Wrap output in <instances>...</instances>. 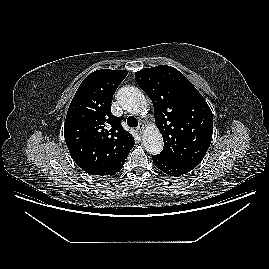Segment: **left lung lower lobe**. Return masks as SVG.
Segmentation results:
<instances>
[{"label": "left lung lower lobe", "mask_w": 269, "mask_h": 269, "mask_svg": "<svg viewBox=\"0 0 269 269\" xmlns=\"http://www.w3.org/2000/svg\"><path fill=\"white\" fill-rule=\"evenodd\" d=\"M152 159L158 169H160L161 171H163L164 173L170 176H175V177L186 174L196 167L191 164H181V163L172 162V161L166 160L165 158L159 155H154Z\"/></svg>", "instance_id": "obj_1"}]
</instances>
